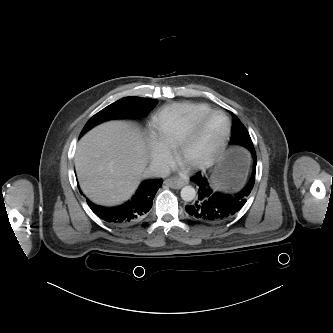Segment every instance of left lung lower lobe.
I'll return each mask as SVG.
<instances>
[{
  "instance_id": "0a47b994",
  "label": "left lung lower lobe",
  "mask_w": 333,
  "mask_h": 333,
  "mask_svg": "<svg viewBox=\"0 0 333 333\" xmlns=\"http://www.w3.org/2000/svg\"><path fill=\"white\" fill-rule=\"evenodd\" d=\"M253 159V173L248 185L236 194H224L214 190L207 175L201 172L192 177L198 186V199L185 209L189 215L201 222H222L237 213L247 201L254 182L256 173V153L251 152Z\"/></svg>"
}]
</instances>
